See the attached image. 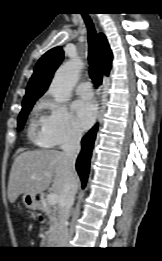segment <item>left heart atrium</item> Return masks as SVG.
Listing matches in <instances>:
<instances>
[{"mask_svg": "<svg viewBox=\"0 0 162 261\" xmlns=\"http://www.w3.org/2000/svg\"><path fill=\"white\" fill-rule=\"evenodd\" d=\"M73 110L80 129L85 130L93 124L96 117V106L93 101L79 99L74 102Z\"/></svg>", "mask_w": 162, "mask_h": 261, "instance_id": "39dd6f15", "label": "left heart atrium"}]
</instances>
